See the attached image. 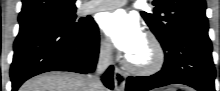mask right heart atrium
I'll list each match as a JSON object with an SVG mask.
<instances>
[{
	"instance_id": "obj_1",
	"label": "right heart atrium",
	"mask_w": 220,
	"mask_h": 91,
	"mask_svg": "<svg viewBox=\"0 0 220 91\" xmlns=\"http://www.w3.org/2000/svg\"><path fill=\"white\" fill-rule=\"evenodd\" d=\"M99 51L104 59H109L112 55V45L107 38H101L99 42Z\"/></svg>"
}]
</instances>
